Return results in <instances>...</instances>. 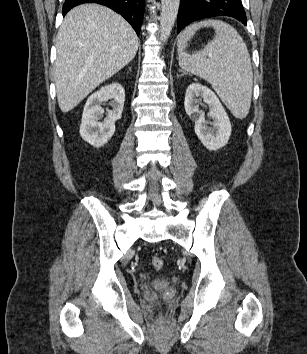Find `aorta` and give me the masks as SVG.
<instances>
[{"instance_id": "1", "label": "aorta", "mask_w": 307, "mask_h": 354, "mask_svg": "<svg viewBox=\"0 0 307 354\" xmlns=\"http://www.w3.org/2000/svg\"><path fill=\"white\" fill-rule=\"evenodd\" d=\"M180 0H161L160 39L166 42L177 18Z\"/></svg>"}]
</instances>
